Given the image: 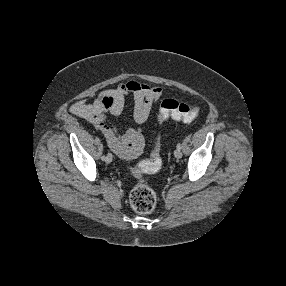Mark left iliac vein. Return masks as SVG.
<instances>
[{
  "label": "left iliac vein",
  "mask_w": 286,
  "mask_h": 286,
  "mask_svg": "<svg viewBox=\"0 0 286 286\" xmlns=\"http://www.w3.org/2000/svg\"><path fill=\"white\" fill-rule=\"evenodd\" d=\"M174 156L177 158V159H180L182 157V151L181 149H176L174 151Z\"/></svg>",
  "instance_id": "left-iliac-vein-1"
}]
</instances>
